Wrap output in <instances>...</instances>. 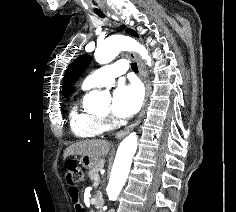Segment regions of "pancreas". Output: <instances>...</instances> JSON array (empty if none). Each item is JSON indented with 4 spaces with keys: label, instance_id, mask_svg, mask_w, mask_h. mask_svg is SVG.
<instances>
[{
    "label": "pancreas",
    "instance_id": "1",
    "mask_svg": "<svg viewBox=\"0 0 236 212\" xmlns=\"http://www.w3.org/2000/svg\"><path fill=\"white\" fill-rule=\"evenodd\" d=\"M101 168H102V165L100 163H98L94 168H92L89 171V177L93 182H97L96 178L99 177L98 173Z\"/></svg>",
    "mask_w": 236,
    "mask_h": 212
}]
</instances>
